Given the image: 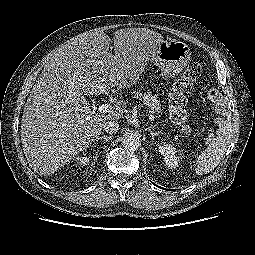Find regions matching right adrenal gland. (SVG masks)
Masks as SVG:
<instances>
[{"mask_svg": "<svg viewBox=\"0 0 255 255\" xmlns=\"http://www.w3.org/2000/svg\"><path fill=\"white\" fill-rule=\"evenodd\" d=\"M110 138H112V136H105V135H103V136H98L97 139H98V140H99V139H103L104 141L107 142Z\"/></svg>", "mask_w": 255, "mask_h": 255, "instance_id": "2a0ac1e0", "label": "right adrenal gland"}]
</instances>
